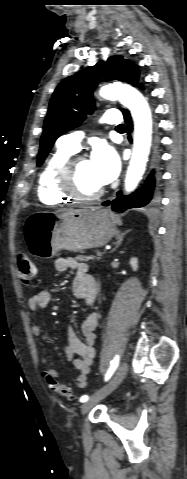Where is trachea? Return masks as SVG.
<instances>
[{
    "label": "trachea",
    "mask_w": 187,
    "mask_h": 479,
    "mask_svg": "<svg viewBox=\"0 0 187 479\" xmlns=\"http://www.w3.org/2000/svg\"><path fill=\"white\" fill-rule=\"evenodd\" d=\"M125 128H126V126L124 124H120V125L117 126V129H125Z\"/></svg>",
    "instance_id": "trachea-1"
}]
</instances>
